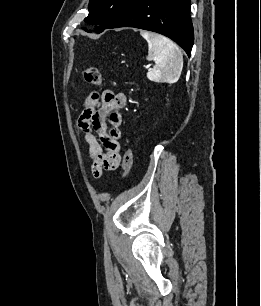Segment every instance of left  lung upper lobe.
<instances>
[{
    "instance_id": "obj_1",
    "label": "left lung upper lobe",
    "mask_w": 261,
    "mask_h": 306,
    "mask_svg": "<svg viewBox=\"0 0 261 306\" xmlns=\"http://www.w3.org/2000/svg\"><path fill=\"white\" fill-rule=\"evenodd\" d=\"M133 0H90L89 15L84 19L90 24L101 25L97 28L100 33L103 29L111 28L126 12ZM87 32L86 28H84Z\"/></svg>"
}]
</instances>
